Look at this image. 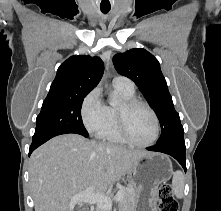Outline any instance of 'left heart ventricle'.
I'll return each mask as SVG.
<instances>
[{"instance_id": "1", "label": "left heart ventricle", "mask_w": 221, "mask_h": 211, "mask_svg": "<svg viewBox=\"0 0 221 211\" xmlns=\"http://www.w3.org/2000/svg\"><path fill=\"white\" fill-rule=\"evenodd\" d=\"M127 124L132 138L140 143L152 140L155 134L154 120L144 107H135L127 114Z\"/></svg>"}]
</instances>
